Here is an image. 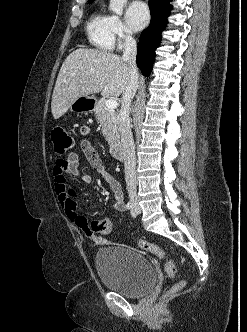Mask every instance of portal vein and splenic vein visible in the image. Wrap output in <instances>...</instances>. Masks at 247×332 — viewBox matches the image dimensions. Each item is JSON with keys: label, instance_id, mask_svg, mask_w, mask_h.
<instances>
[{"label": "portal vein and splenic vein", "instance_id": "18ae733b", "mask_svg": "<svg viewBox=\"0 0 247 332\" xmlns=\"http://www.w3.org/2000/svg\"><path fill=\"white\" fill-rule=\"evenodd\" d=\"M105 105H106V107L109 108V109H115V108H117L118 103H117V101H116L115 99L110 98V99H107V100L105 101Z\"/></svg>", "mask_w": 247, "mask_h": 332}]
</instances>
